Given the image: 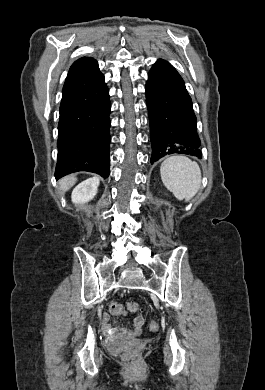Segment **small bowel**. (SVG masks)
<instances>
[{
  "label": "small bowel",
  "mask_w": 265,
  "mask_h": 390,
  "mask_svg": "<svg viewBox=\"0 0 265 390\" xmlns=\"http://www.w3.org/2000/svg\"><path fill=\"white\" fill-rule=\"evenodd\" d=\"M102 323L104 331L109 335L120 334L127 338H134L141 334L145 320L143 316H137L134 319L133 327L127 330H118L109 322V317L106 313L103 314Z\"/></svg>",
  "instance_id": "small-bowel-1"
}]
</instances>
